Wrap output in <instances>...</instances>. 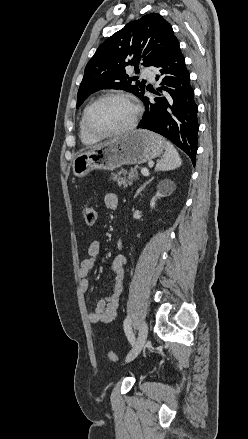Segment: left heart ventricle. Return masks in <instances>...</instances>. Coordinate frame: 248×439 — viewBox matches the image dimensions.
Here are the masks:
<instances>
[{
	"label": "left heart ventricle",
	"instance_id": "b2bd125f",
	"mask_svg": "<svg viewBox=\"0 0 248 439\" xmlns=\"http://www.w3.org/2000/svg\"><path fill=\"white\" fill-rule=\"evenodd\" d=\"M133 113L132 106L127 102L106 99L91 110L90 123L99 131H115L128 125Z\"/></svg>",
	"mask_w": 248,
	"mask_h": 439
}]
</instances>
